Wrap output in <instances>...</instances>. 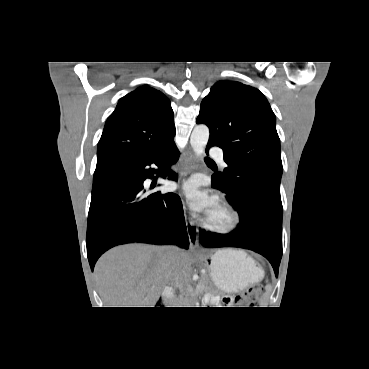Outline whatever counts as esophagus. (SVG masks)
Segmentation results:
<instances>
[{
  "mask_svg": "<svg viewBox=\"0 0 369 369\" xmlns=\"http://www.w3.org/2000/svg\"><path fill=\"white\" fill-rule=\"evenodd\" d=\"M182 165H183V168L180 172V177H179L181 185H183L185 183V181L187 180L191 170L195 166V157H194V154L191 151H188L184 155ZM181 201H182V204H183V211H184V216H185L187 234H188L189 242H190V249L194 250V249L197 248V245H198V230H197L192 218L190 217V212H189L188 207H187V200H186V196L184 195V193L181 194Z\"/></svg>",
  "mask_w": 369,
  "mask_h": 369,
  "instance_id": "esophagus-1",
  "label": "esophagus"
}]
</instances>
